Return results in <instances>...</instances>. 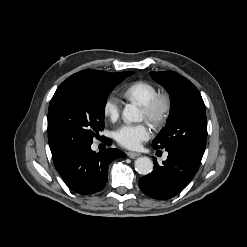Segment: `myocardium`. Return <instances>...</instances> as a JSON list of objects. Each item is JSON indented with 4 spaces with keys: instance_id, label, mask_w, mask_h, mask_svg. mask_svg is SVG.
<instances>
[{
    "instance_id": "1",
    "label": "myocardium",
    "mask_w": 247,
    "mask_h": 247,
    "mask_svg": "<svg viewBox=\"0 0 247 247\" xmlns=\"http://www.w3.org/2000/svg\"><path fill=\"white\" fill-rule=\"evenodd\" d=\"M145 119L155 128L163 126L172 111V99L168 94L158 93L142 106Z\"/></svg>"
}]
</instances>
